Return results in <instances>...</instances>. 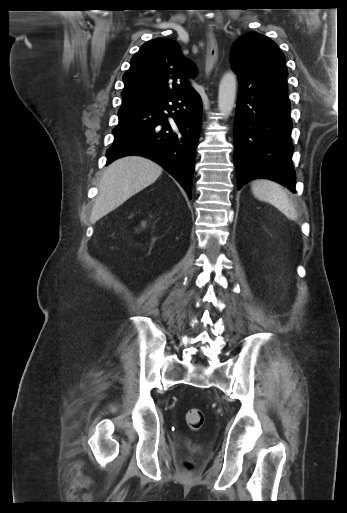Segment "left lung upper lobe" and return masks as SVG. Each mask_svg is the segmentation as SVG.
Wrapping results in <instances>:
<instances>
[{
	"label": "left lung upper lobe",
	"instance_id": "obj_1",
	"mask_svg": "<svg viewBox=\"0 0 347 513\" xmlns=\"http://www.w3.org/2000/svg\"><path fill=\"white\" fill-rule=\"evenodd\" d=\"M233 70L250 76L287 77L285 56L276 43L260 33L239 37L230 51Z\"/></svg>",
	"mask_w": 347,
	"mask_h": 513
}]
</instances>
